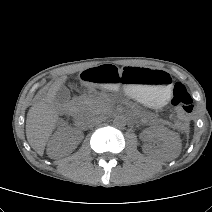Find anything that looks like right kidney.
Segmentation results:
<instances>
[{"mask_svg":"<svg viewBox=\"0 0 212 212\" xmlns=\"http://www.w3.org/2000/svg\"><path fill=\"white\" fill-rule=\"evenodd\" d=\"M83 138V133L77 129L59 127L48 143L47 154L52 159H59L72 153Z\"/></svg>","mask_w":212,"mask_h":212,"instance_id":"1","label":"right kidney"}]
</instances>
